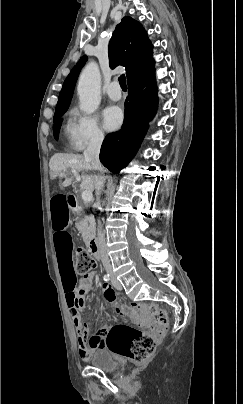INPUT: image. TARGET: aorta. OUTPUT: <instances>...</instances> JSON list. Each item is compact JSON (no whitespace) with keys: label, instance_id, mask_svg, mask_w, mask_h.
<instances>
[{"label":"aorta","instance_id":"aorta-1","mask_svg":"<svg viewBox=\"0 0 243 404\" xmlns=\"http://www.w3.org/2000/svg\"><path fill=\"white\" fill-rule=\"evenodd\" d=\"M100 70L96 62H89L85 66L78 82V96L80 100V110L86 114H93L96 112L101 102L100 94Z\"/></svg>","mask_w":243,"mask_h":404}]
</instances>
